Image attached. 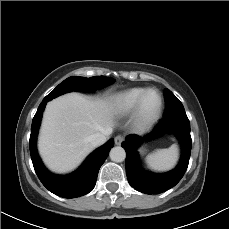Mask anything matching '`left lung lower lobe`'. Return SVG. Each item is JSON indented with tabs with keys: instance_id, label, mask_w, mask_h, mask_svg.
<instances>
[{
	"instance_id": "left-lung-lower-lobe-1",
	"label": "left lung lower lobe",
	"mask_w": 229,
	"mask_h": 229,
	"mask_svg": "<svg viewBox=\"0 0 229 229\" xmlns=\"http://www.w3.org/2000/svg\"><path fill=\"white\" fill-rule=\"evenodd\" d=\"M169 132L177 136L182 146L179 164L174 170L165 174L146 172L140 167L137 148L142 142ZM121 145L126 151L125 165L129 184L145 194L165 192L181 180L189 164L192 145L189 119L186 113L164 117L151 133L144 137L129 135Z\"/></svg>"
}]
</instances>
